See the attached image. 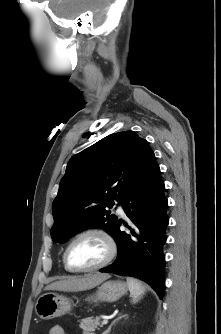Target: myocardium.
I'll use <instances>...</instances> for the list:
<instances>
[{
	"label": "myocardium",
	"instance_id": "f54148a6",
	"mask_svg": "<svg viewBox=\"0 0 221 334\" xmlns=\"http://www.w3.org/2000/svg\"><path fill=\"white\" fill-rule=\"evenodd\" d=\"M88 235H96L102 238L107 246V255L106 257L98 264L86 267V268H77L70 264L69 262V251L72 247V245L82 237L88 236ZM117 253V243L113 235L108 232L107 230L99 227H91L84 229L80 232H78L67 244L64 254H63V261L65 266L71 271V272H91L96 271L99 269H102L106 267L115 257Z\"/></svg>",
	"mask_w": 221,
	"mask_h": 334
}]
</instances>
